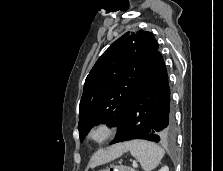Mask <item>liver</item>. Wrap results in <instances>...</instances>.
<instances>
[{
    "label": "liver",
    "instance_id": "6515ba94",
    "mask_svg": "<svg viewBox=\"0 0 223 171\" xmlns=\"http://www.w3.org/2000/svg\"><path fill=\"white\" fill-rule=\"evenodd\" d=\"M128 150L127 143L115 144L105 150L96 152L90 162V167L95 168L96 166L108 163L116 158L120 157L123 153Z\"/></svg>",
    "mask_w": 223,
    "mask_h": 171
}]
</instances>
